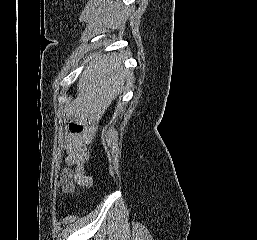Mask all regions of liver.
Returning <instances> with one entry per match:
<instances>
[{"mask_svg":"<svg viewBox=\"0 0 257 240\" xmlns=\"http://www.w3.org/2000/svg\"><path fill=\"white\" fill-rule=\"evenodd\" d=\"M115 54L103 55L85 68L79 78L76 98L65 106L68 116L81 122L103 114L123 89L129 72Z\"/></svg>","mask_w":257,"mask_h":240,"instance_id":"6515ba94","label":"liver"}]
</instances>
